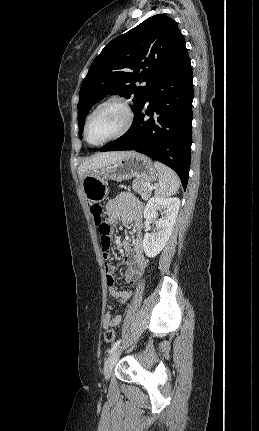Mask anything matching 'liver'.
Listing matches in <instances>:
<instances>
[{
    "label": "liver",
    "mask_w": 259,
    "mask_h": 431,
    "mask_svg": "<svg viewBox=\"0 0 259 431\" xmlns=\"http://www.w3.org/2000/svg\"><path fill=\"white\" fill-rule=\"evenodd\" d=\"M129 153L130 152L127 151L104 152L85 160L78 168L80 179L82 180L83 176L89 171L97 170L113 164Z\"/></svg>",
    "instance_id": "1"
}]
</instances>
